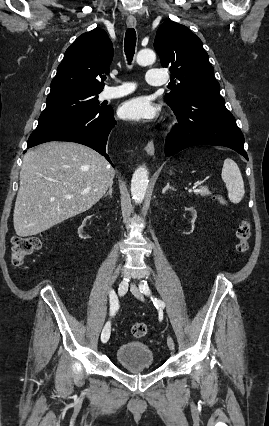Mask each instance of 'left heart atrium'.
Returning a JSON list of instances; mask_svg holds the SVG:
<instances>
[{"instance_id": "obj_1", "label": "left heart atrium", "mask_w": 269, "mask_h": 426, "mask_svg": "<svg viewBox=\"0 0 269 426\" xmlns=\"http://www.w3.org/2000/svg\"><path fill=\"white\" fill-rule=\"evenodd\" d=\"M158 107L147 97H136L123 103L119 109L122 118L132 121H150L158 115Z\"/></svg>"}]
</instances>
